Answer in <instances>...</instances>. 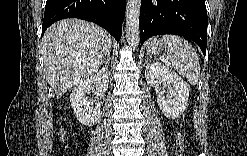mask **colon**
<instances>
[{
    "instance_id": "obj_1",
    "label": "colon",
    "mask_w": 247,
    "mask_h": 156,
    "mask_svg": "<svg viewBox=\"0 0 247 156\" xmlns=\"http://www.w3.org/2000/svg\"><path fill=\"white\" fill-rule=\"evenodd\" d=\"M64 136V131L63 129H61V137ZM183 145H184V139H183V132L179 131L176 135V150L177 152H181L183 149Z\"/></svg>"
}]
</instances>
